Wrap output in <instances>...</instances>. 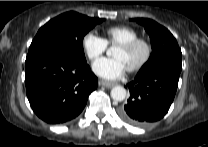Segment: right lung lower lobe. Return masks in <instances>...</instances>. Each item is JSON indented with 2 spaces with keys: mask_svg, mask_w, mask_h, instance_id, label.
Returning <instances> with one entry per match:
<instances>
[{
  "mask_svg": "<svg viewBox=\"0 0 208 147\" xmlns=\"http://www.w3.org/2000/svg\"><path fill=\"white\" fill-rule=\"evenodd\" d=\"M25 84L36 115L49 124L66 123L84 109L98 78L86 61L63 52L26 58Z\"/></svg>",
  "mask_w": 208,
  "mask_h": 147,
  "instance_id": "right-lung-lower-lobe-1",
  "label": "right lung lower lobe"
}]
</instances>
